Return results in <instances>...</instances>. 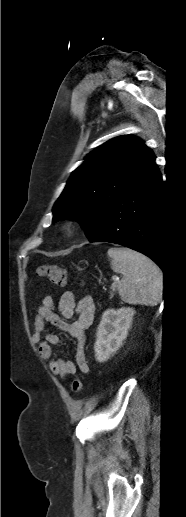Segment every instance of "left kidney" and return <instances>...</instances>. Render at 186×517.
Segmentation results:
<instances>
[{"mask_svg": "<svg viewBox=\"0 0 186 517\" xmlns=\"http://www.w3.org/2000/svg\"><path fill=\"white\" fill-rule=\"evenodd\" d=\"M135 310L130 307L107 309L97 328L94 345L95 358L98 362L107 361L121 347L127 338Z\"/></svg>", "mask_w": 186, "mask_h": 517, "instance_id": "obj_1", "label": "left kidney"}]
</instances>
